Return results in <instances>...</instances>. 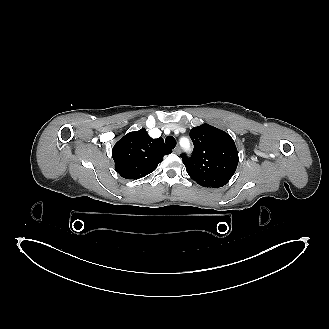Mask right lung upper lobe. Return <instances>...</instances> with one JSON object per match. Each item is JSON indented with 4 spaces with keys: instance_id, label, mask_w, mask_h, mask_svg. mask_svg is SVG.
Masks as SVG:
<instances>
[{
    "instance_id": "cb5924a9",
    "label": "right lung upper lobe",
    "mask_w": 329,
    "mask_h": 329,
    "mask_svg": "<svg viewBox=\"0 0 329 329\" xmlns=\"http://www.w3.org/2000/svg\"><path fill=\"white\" fill-rule=\"evenodd\" d=\"M171 153L160 137L152 139L146 129L130 132L112 149L116 171L126 179H139L153 172L163 156Z\"/></svg>"
}]
</instances>
